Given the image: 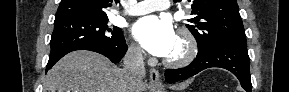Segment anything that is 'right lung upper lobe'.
<instances>
[{
  "mask_svg": "<svg viewBox=\"0 0 289 92\" xmlns=\"http://www.w3.org/2000/svg\"><path fill=\"white\" fill-rule=\"evenodd\" d=\"M117 0H61L55 21L70 18L93 17L108 18L106 9Z\"/></svg>",
  "mask_w": 289,
  "mask_h": 92,
  "instance_id": "obj_1",
  "label": "right lung upper lobe"
}]
</instances>
